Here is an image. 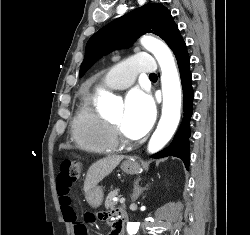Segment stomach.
<instances>
[{"mask_svg": "<svg viewBox=\"0 0 250 235\" xmlns=\"http://www.w3.org/2000/svg\"><path fill=\"white\" fill-rule=\"evenodd\" d=\"M121 169L126 174H136L139 171V164L132 159H127L121 164ZM103 189L99 186L92 188L87 194V201L93 208L99 207L103 202Z\"/></svg>", "mask_w": 250, "mask_h": 235, "instance_id": "0dacf381", "label": "stomach"}]
</instances>
